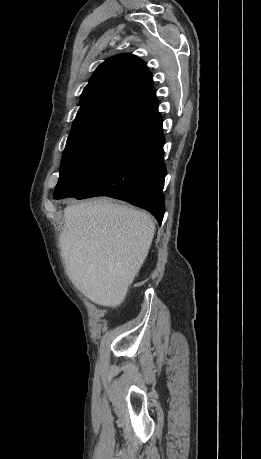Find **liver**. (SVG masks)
I'll return each mask as SVG.
<instances>
[{
    "label": "liver",
    "mask_w": 261,
    "mask_h": 459,
    "mask_svg": "<svg viewBox=\"0 0 261 459\" xmlns=\"http://www.w3.org/2000/svg\"><path fill=\"white\" fill-rule=\"evenodd\" d=\"M64 221L59 246L68 275L94 303L120 305L148 255L152 217L100 198L66 207Z\"/></svg>",
    "instance_id": "obj_1"
}]
</instances>
